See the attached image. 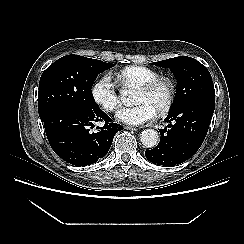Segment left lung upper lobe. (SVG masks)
Returning <instances> with one entry per match:
<instances>
[{"label": "left lung upper lobe", "instance_id": "obj_1", "mask_svg": "<svg viewBox=\"0 0 244 244\" xmlns=\"http://www.w3.org/2000/svg\"><path fill=\"white\" fill-rule=\"evenodd\" d=\"M154 65L170 68L177 77L178 89L170 110L197 98H214L212 77L207 68L197 60L180 56L154 62Z\"/></svg>", "mask_w": 244, "mask_h": 244}]
</instances>
